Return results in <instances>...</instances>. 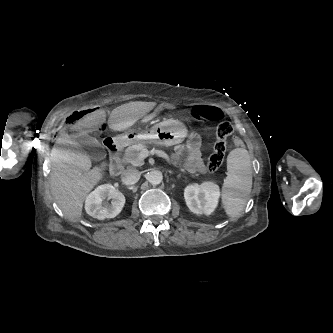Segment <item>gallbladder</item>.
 <instances>
[{"instance_id":"bac80fb5","label":"gallbladder","mask_w":333,"mask_h":333,"mask_svg":"<svg viewBox=\"0 0 333 333\" xmlns=\"http://www.w3.org/2000/svg\"><path fill=\"white\" fill-rule=\"evenodd\" d=\"M74 140L88 151L92 159L105 158V149L96 138L81 133L75 135Z\"/></svg>"}]
</instances>
